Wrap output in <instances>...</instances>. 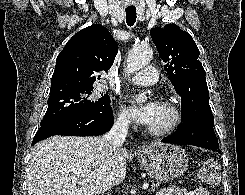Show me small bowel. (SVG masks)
<instances>
[{"label":"small bowel","instance_id":"1","mask_svg":"<svg viewBox=\"0 0 245 195\" xmlns=\"http://www.w3.org/2000/svg\"><path fill=\"white\" fill-rule=\"evenodd\" d=\"M157 195H209L208 190L203 186H197L189 191L178 187H167L161 189Z\"/></svg>","mask_w":245,"mask_h":195}]
</instances>
